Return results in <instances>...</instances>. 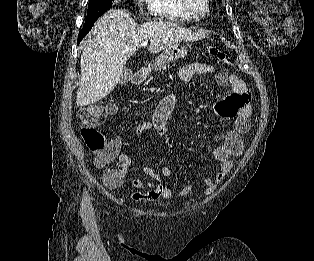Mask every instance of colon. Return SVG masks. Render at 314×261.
<instances>
[{
  "mask_svg": "<svg viewBox=\"0 0 314 261\" xmlns=\"http://www.w3.org/2000/svg\"><path fill=\"white\" fill-rule=\"evenodd\" d=\"M208 53L217 63L230 65L229 56L222 50L209 47ZM104 111V107L94 104L80 107L76 114L81 136L89 151L96 155L97 166L102 169L108 166L117 149L114 140L107 139L99 129ZM123 179L122 174L110 170L106 171L103 177L104 183L111 187L120 185Z\"/></svg>",
  "mask_w": 314,
  "mask_h": 261,
  "instance_id": "colon-1",
  "label": "colon"
}]
</instances>
